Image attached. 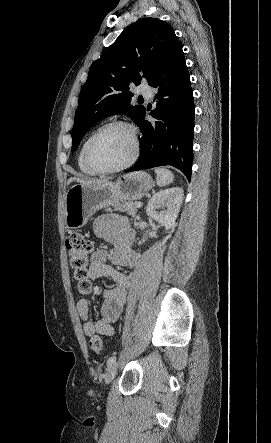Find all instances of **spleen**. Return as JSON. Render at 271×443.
I'll list each match as a JSON object with an SVG mask.
<instances>
[{"label": "spleen", "mask_w": 271, "mask_h": 443, "mask_svg": "<svg viewBox=\"0 0 271 443\" xmlns=\"http://www.w3.org/2000/svg\"><path fill=\"white\" fill-rule=\"evenodd\" d=\"M156 174V182L157 186L163 188V186H168V184H172L174 180V176L170 170H166V168H157L155 170Z\"/></svg>", "instance_id": "obj_1"}]
</instances>
